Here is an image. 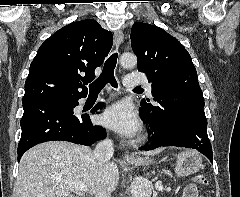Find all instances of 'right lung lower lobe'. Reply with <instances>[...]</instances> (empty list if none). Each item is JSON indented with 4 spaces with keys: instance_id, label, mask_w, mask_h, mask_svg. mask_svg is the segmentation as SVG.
<instances>
[{
    "instance_id": "1",
    "label": "right lung lower lobe",
    "mask_w": 240,
    "mask_h": 197,
    "mask_svg": "<svg viewBox=\"0 0 240 197\" xmlns=\"http://www.w3.org/2000/svg\"><path fill=\"white\" fill-rule=\"evenodd\" d=\"M82 97L62 96L23 104L18 162L25 151L39 143L62 140L90 146L105 137L104 129L94 126L88 115H74L73 108ZM102 106L98 103L92 112Z\"/></svg>"
}]
</instances>
